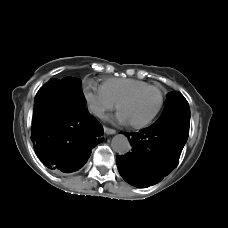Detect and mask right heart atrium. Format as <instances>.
<instances>
[{
  "label": "right heart atrium",
  "mask_w": 228,
  "mask_h": 228,
  "mask_svg": "<svg viewBox=\"0 0 228 228\" xmlns=\"http://www.w3.org/2000/svg\"><path fill=\"white\" fill-rule=\"evenodd\" d=\"M85 98L90 110L97 116L103 115L106 111L114 108V103L104 94L101 88L94 89L87 85L84 89Z\"/></svg>",
  "instance_id": "d8ad5b80"
}]
</instances>
